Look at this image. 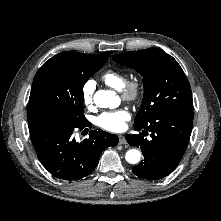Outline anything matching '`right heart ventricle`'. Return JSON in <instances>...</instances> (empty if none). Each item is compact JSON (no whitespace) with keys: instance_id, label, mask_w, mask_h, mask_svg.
I'll list each match as a JSON object with an SVG mask.
<instances>
[{"instance_id":"1","label":"right heart ventricle","mask_w":221,"mask_h":221,"mask_svg":"<svg viewBox=\"0 0 221 221\" xmlns=\"http://www.w3.org/2000/svg\"><path fill=\"white\" fill-rule=\"evenodd\" d=\"M102 81L115 90H121L126 84V78L118 71L109 70L102 75Z\"/></svg>"}]
</instances>
